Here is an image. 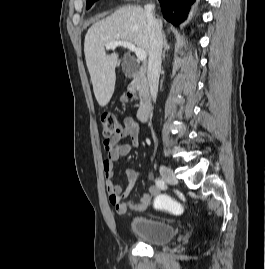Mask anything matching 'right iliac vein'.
Listing matches in <instances>:
<instances>
[{
	"instance_id": "obj_1",
	"label": "right iliac vein",
	"mask_w": 265,
	"mask_h": 269,
	"mask_svg": "<svg viewBox=\"0 0 265 269\" xmlns=\"http://www.w3.org/2000/svg\"><path fill=\"white\" fill-rule=\"evenodd\" d=\"M159 170H160L161 176L168 184H177L178 183V180H177L174 172L169 167H167L165 165H161Z\"/></svg>"
}]
</instances>
